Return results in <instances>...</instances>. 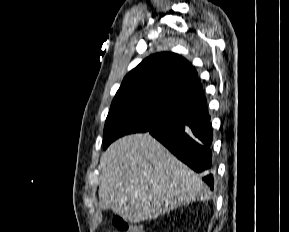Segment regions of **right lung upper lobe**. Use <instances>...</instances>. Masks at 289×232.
I'll list each match as a JSON object with an SVG mask.
<instances>
[{"instance_id": "cb5924a9", "label": "right lung upper lobe", "mask_w": 289, "mask_h": 232, "mask_svg": "<svg viewBox=\"0 0 289 232\" xmlns=\"http://www.w3.org/2000/svg\"><path fill=\"white\" fill-rule=\"evenodd\" d=\"M196 69L175 53L144 59L123 79L115 98H141L181 111L206 105Z\"/></svg>"}]
</instances>
